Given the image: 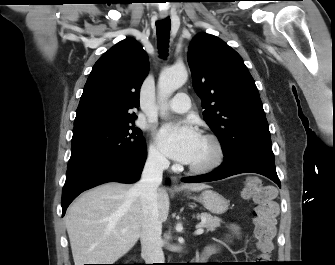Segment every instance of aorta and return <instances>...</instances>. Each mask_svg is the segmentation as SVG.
I'll return each instance as SVG.
<instances>
[{"label": "aorta", "mask_w": 335, "mask_h": 265, "mask_svg": "<svg viewBox=\"0 0 335 265\" xmlns=\"http://www.w3.org/2000/svg\"><path fill=\"white\" fill-rule=\"evenodd\" d=\"M188 73L184 66L172 67L161 72L158 80V92L162 104L187 80Z\"/></svg>", "instance_id": "762f6f07"}]
</instances>
